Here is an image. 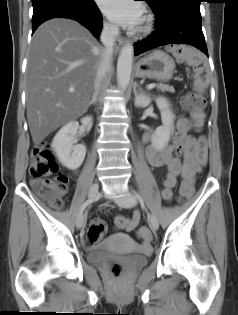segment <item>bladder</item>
<instances>
[{"mask_svg": "<svg viewBox=\"0 0 238 315\" xmlns=\"http://www.w3.org/2000/svg\"><path fill=\"white\" fill-rule=\"evenodd\" d=\"M98 249H128V248H90L88 250L87 261L90 264H100L105 256H98ZM150 254V250L140 253L139 256H122L124 262L132 267H139L145 265L147 256Z\"/></svg>", "mask_w": 238, "mask_h": 315, "instance_id": "31cf9c89", "label": "bladder"}]
</instances>
